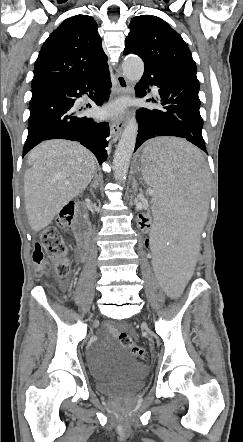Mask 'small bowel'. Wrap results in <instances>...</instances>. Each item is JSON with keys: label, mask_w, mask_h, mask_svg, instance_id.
I'll list each match as a JSON object with an SVG mask.
<instances>
[{"label": "small bowel", "mask_w": 243, "mask_h": 442, "mask_svg": "<svg viewBox=\"0 0 243 442\" xmlns=\"http://www.w3.org/2000/svg\"><path fill=\"white\" fill-rule=\"evenodd\" d=\"M107 329H108V331H109L110 333H112V334H115V333H116L115 328L112 327V326H108Z\"/></svg>", "instance_id": "small-bowel-1"}]
</instances>
